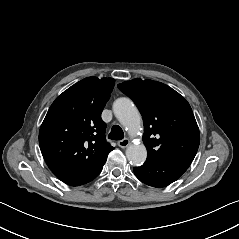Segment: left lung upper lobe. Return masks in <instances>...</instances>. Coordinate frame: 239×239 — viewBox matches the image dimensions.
Masks as SVG:
<instances>
[{
	"label": "left lung upper lobe",
	"mask_w": 239,
	"mask_h": 239,
	"mask_svg": "<svg viewBox=\"0 0 239 239\" xmlns=\"http://www.w3.org/2000/svg\"><path fill=\"white\" fill-rule=\"evenodd\" d=\"M118 88L133 99L143 117L146 161L191 163L200 134L186 99L169 86L149 79L126 81Z\"/></svg>",
	"instance_id": "obj_1"
}]
</instances>
